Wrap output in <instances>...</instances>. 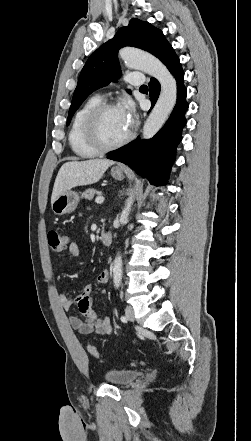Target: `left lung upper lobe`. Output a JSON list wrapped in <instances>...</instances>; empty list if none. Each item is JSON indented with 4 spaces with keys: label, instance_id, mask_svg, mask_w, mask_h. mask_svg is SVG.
Instances as JSON below:
<instances>
[{
    "label": "left lung upper lobe",
    "instance_id": "5c2ea615",
    "mask_svg": "<svg viewBox=\"0 0 251 441\" xmlns=\"http://www.w3.org/2000/svg\"><path fill=\"white\" fill-rule=\"evenodd\" d=\"M124 46H133L148 51L161 61L172 48L161 30L148 22L137 18L131 19L127 27L120 28L113 39L100 46L88 58L73 94L67 125L88 95L120 76L117 51Z\"/></svg>",
    "mask_w": 251,
    "mask_h": 441
}]
</instances>
